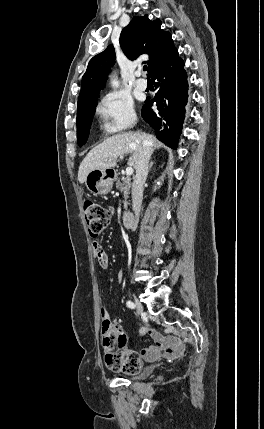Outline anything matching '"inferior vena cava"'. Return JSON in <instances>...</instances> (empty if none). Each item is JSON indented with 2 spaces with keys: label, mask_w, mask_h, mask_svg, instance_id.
Here are the masks:
<instances>
[{
  "label": "inferior vena cava",
  "mask_w": 264,
  "mask_h": 429,
  "mask_svg": "<svg viewBox=\"0 0 264 429\" xmlns=\"http://www.w3.org/2000/svg\"><path fill=\"white\" fill-rule=\"evenodd\" d=\"M151 153V148L144 143L138 164L136 166V175L134 177L132 186V208L135 213V218L133 219L135 224L139 223L137 217L139 216L141 210L144 184L148 175V164Z\"/></svg>",
  "instance_id": "inferior-vena-cava-1"
}]
</instances>
